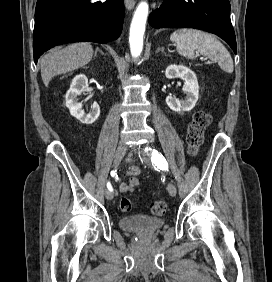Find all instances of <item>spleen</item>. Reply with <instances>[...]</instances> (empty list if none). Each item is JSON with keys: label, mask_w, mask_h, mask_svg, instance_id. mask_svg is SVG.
Here are the masks:
<instances>
[{"label": "spleen", "mask_w": 272, "mask_h": 282, "mask_svg": "<svg viewBox=\"0 0 272 282\" xmlns=\"http://www.w3.org/2000/svg\"><path fill=\"white\" fill-rule=\"evenodd\" d=\"M170 39L175 42L181 56L194 59L195 52L200 53L216 60L225 72H233L234 66L230 53L214 36L200 30L179 29L171 34Z\"/></svg>", "instance_id": "obj_1"}]
</instances>
